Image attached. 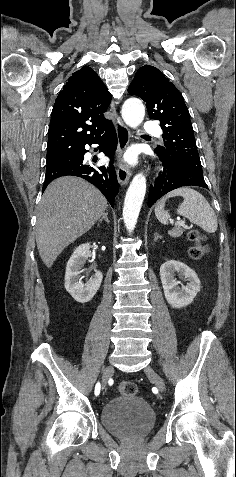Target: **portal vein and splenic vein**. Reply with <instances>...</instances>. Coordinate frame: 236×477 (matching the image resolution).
Wrapping results in <instances>:
<instances>
[{
  "instance_id": "obj_1",
  "label": "portal vein and splenic vein",
  "mask_w": 236,
  "mask_h": 477,
  "mask_svg": "<svg viewBox=\"0 0 236 477\" xmlns=\"http://www.w3.org/2000/svg\"><path fill=\"white\" fill-rule=\"evenodd\" d=\"M177 226H184L185 225V222L182 221V220H179L175 223Z\"/></svg>"
}]
</instances>
